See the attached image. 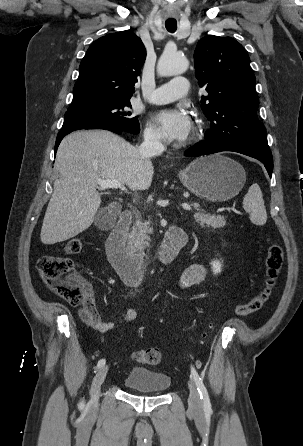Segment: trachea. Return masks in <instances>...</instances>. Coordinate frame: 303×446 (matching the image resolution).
<instances>
[{
  "label": "trachea",
  "mask_w": 303,
  "mask_h": 446,
  "mask_svg": "<svg viewBox=\"0 0 303 446\" xmlns=\"http://www.w3.org/2000/svg\"><path fill=\"white\" fill-rule=\"evenodd\" d=\"M165 27L169 32L174 33L177 29V22L175 20H167Z\"/></svg>",
  "instance_id": "3493384b"
}]
</instances>
